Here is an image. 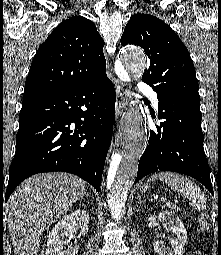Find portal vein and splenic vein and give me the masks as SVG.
<instances>
[{
    "label": "portal vein and splenic vein",
    "instance_id": "portal-vein-and-splenic-vein-1",
    "mask_svg": "<svg viewBox=\"0 0 221 255\" xmlns=\"http://www.w3.org/2000/svg\"><path fill=\"white\" fill-rule=\"evenodd\" d=\"M167 204H172L171 202H167Z\"/></svg>",
    "mask_w": 221,
    "mask_h": 255
}]
</instances>
